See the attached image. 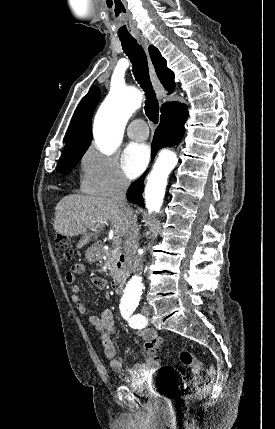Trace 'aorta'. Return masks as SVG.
<instances>
[{"label": "aorta", "mask_w": 275, "mask_h": 429, "mask_svg": "<svg viewBox=\"0 0 275 429\" xmlns=\"http://www.w3.org/2000/svg\"><path fill=\"white\" fill-rule=\"evenodd\" d=\"M141 95L136 89H112L95 118V141L101 152L113 153L120 145L127 120L140 106ZM176 155L165 151L157 159L145 186V203L149 212H159L163 204L168 176L176 163ZM140 277L127 284L123 302L135 304L142 291Z\"/></svg>", "instance_id": "1"}]
</instances>
